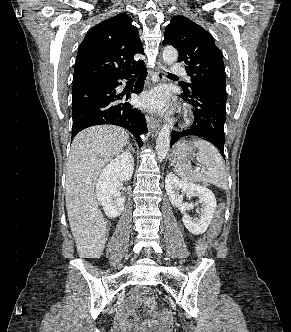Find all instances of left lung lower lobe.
<instances>
[{
  "label": "left lung lower lobe",
  "instance_id": "obj_1",
  "mask_svg": "<svg viewBox=\"0 0 291 332\" xmlns=\"http://www.w3.org/2000/svg\"><path fill=\"white\" fill-rule=\"evenodd\" d=\"M183 95L195 108L194 125L184 131H173L171 145L187 135L203 137L219 149L224 157V123L226 119V88L214 84H199Z\"/></svg>",
  "mask_w": 291,
  "mask_h": 332
}]
</instances>
